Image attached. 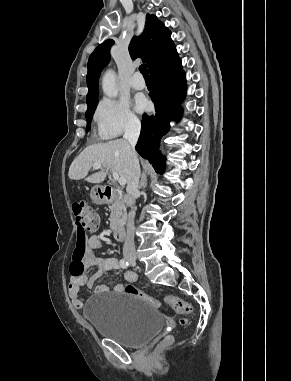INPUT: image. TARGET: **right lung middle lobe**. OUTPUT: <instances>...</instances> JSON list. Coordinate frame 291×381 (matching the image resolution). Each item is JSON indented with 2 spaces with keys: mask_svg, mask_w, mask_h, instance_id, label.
Listing matches in <instances>:
<instances>
[{
  "mask_svg": "<svg viewBox=\"0 0 291 381\" xmlns=\"http://www.w3.org/2000/svg\"><path fill=\"white\" fill-rule=\"evenodd\" d=\"M98 104V100H95L94 102L88 104V109L86 111V120H87V131L90 129V121L92 119L93 113L96 109V106Z\"/></svg>",
  "mask_w": 291,
  "mask_h": 381,
  "instance_id": "1",
  "label": "right lung middle lobe"
}]
</instances>
